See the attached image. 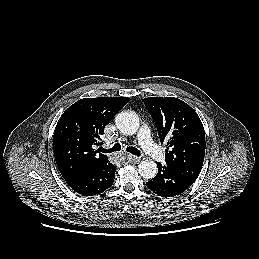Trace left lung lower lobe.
I'll list each match as a JSON object with an SVG mask.
<instances>
[{"label":"left lung lower lobe","mask_w":259,"mask_h":259,"mask_svg":"<svg viewBox=\"0 0 259 259\" xmlns=\"http://www.w3.org/2000/svg\"><path fill=\"white\" fill-rule=\"evenodd\" d=\"M157 166V175L146 183L147 187L155 194L162 197H174L182 194L192 184L166 165L157 163Z\"/></svg>","instance_id":"obj_1"}]
</instances>
